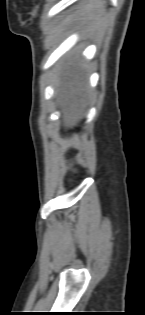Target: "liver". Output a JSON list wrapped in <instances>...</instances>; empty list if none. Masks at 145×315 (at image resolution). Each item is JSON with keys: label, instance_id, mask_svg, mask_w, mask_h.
Listing matches in <instances>:
<instances>
[{"label": "liver", "instance_id": "obj_1", "mask_svg": "<svg viewBox=\"0 0 145 315\" xmlns=\"http://www.w3.org/2000/svg\"><path fill=\"white\" fill-rule=\"evenodd\" d=\"M86 66L79 53L66 56L55 80L64 128H72L84 116L89 88Z\"/></svg>", "mask_w": 145, "mask_h": 315}]
</instances>
